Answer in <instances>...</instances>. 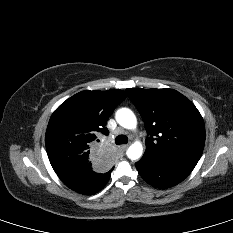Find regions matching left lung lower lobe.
Returning a JSON list of instances; mask_svg holds the SVG:
<instances>
[{"instance_id": "obj_1", "label": "left lung lower lobe", "mask_w": 233, "mask_h": 233, "mask_svg": "<svg viewBox=\"0 0 233 233\" xmlns=\"http://www.w3.org/2000/svg\"><path fill=\"white\" fill-rule=\"evenodd\" d=\"M198 160L189 157H159L145 153L135 163L142 178L153 187L165 189L183 181L194 169Z\"/></svg>"}]
</instances>
